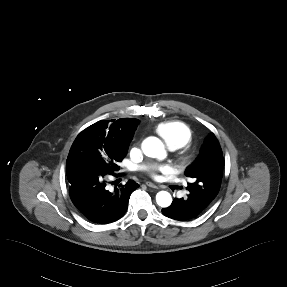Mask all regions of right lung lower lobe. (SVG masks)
Wrapping results in <instances>:
<instances>
[{
  "label": "right lung lower lobe",
  "instance_id": "1",
  "mask_svg": "<svg viewBox=\"0 0 287 287\" xmlns=\"http://www.w3.org/2000/svg\"><path fill=\"white\" fill-rule=\"evenodd\" d=\"M69 194L73 204L89 221L107 224L121 218L128 207L131 193L139 185L129 180L125 185L115 187L113 192L106 189L108 175L119 176L92 164H80L66 169Z\"/></svg>",
  "mask_w": 287,
  "mask_h": 287
}]
</instances>
